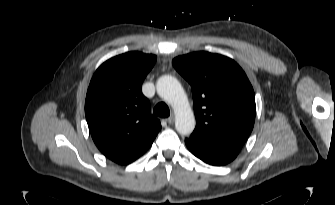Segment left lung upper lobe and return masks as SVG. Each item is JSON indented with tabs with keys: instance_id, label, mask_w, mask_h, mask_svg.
I'll return each instance as SVG.
<instances>
[{
	"instance_id": "left-lung-upper-lobe-1",
	"label": "left lung upper lobe",
	"mask_w": 335,
	"mask_h": 205,
	"mask_svg": "<svg viewBox=\"0 0 335 205\" xmlns=\"http://www.w3.org/2000/svg\"><path fill=\"white\" fill-rule=\"evenodd\" d=\"M172 64L192 88L196 128L191 137L240 149L256 114L255 94L242 68L228 57L204 51L176 57Z\"/></svg>"
}]
</instances>
